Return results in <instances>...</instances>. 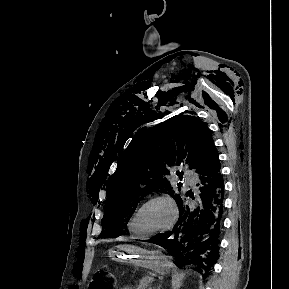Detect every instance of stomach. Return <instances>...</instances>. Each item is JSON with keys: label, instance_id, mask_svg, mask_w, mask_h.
Listing matches in <instances>:
<instances>
[{"label": "stomach", "instance_id": "obj_1", "mask_svg": "<svg viewBox=\"0 0 289 289\" xmlns=\"http://www.w3.org/2000/svg\"><path fill=\"white\" fill-rule=\"evenodd\" d=\"M108 256L115 261L132 264L164 273L169 269V261L159 251H150L135 245H118L108 251Z\"/></svg>", "mask_w": 289, "mask_h": 289}]
</instances>
